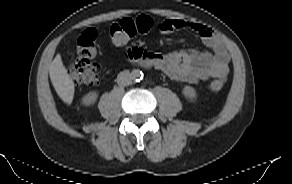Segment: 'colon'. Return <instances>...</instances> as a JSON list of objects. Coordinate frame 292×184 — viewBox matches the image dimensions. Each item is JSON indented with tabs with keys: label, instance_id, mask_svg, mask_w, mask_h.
Listing matches in <instances>:
<instances>
[{
	"label": "colon",
	"instance_id": "5ec220e1",
	"mask_svg": "<svg viewBox=\"0 0 292 184\" xmlns=\"http://www.w3.org/2000/svg\"><path fill=\"white\" fill-rule=\"evenodd\" d=\"M156 31L154 20L149 16L125 18L114 23L109 31L113 44H126L135 35H151ZM96 31L88 29L78 38L74 55L68 65L70 77L79 85L94 86L100 81V66L92 59L96 54ZM227 77L212 81L208 89L217 92L222 89Z\"/></svg>",
	"mask_w": 292,
	"mask_h": 184
}]
</instances>
